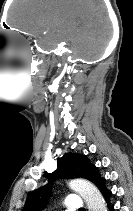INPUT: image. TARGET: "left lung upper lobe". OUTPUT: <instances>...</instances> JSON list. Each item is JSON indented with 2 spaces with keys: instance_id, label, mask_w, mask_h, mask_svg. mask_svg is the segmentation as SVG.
<instances>
[{
  "instance_id": "obj_1",
  "label": "left lung upper lobe",
  "mask_w": 133,
  "mask_h": 211,
  "mask_svg": "<svg viewBox=\"0 0 133 211\" xmlns=\"http://www.w3.org/2000/svg\"><path fill=\"white\" fill-rule=\"evenodd\" d=\"M57 166L54 173L46 174L49 177V183L29 195L23 211H42L46 208L52 190V182L58 179L85 178L93 182L100 191L106 187L105 179L100 176L97 167L91 164L84 155L66 153L58 158Z\"/></svg>"
}]
</instances>
